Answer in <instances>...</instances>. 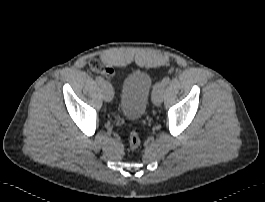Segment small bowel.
Segmentation results:
<instances>
[{"label": "small bowel", "instance_id": "obj_1", "mask_svg": "<svg viewBox=\"0 0 265 202\" xmlns=\"http://www.w3.org/2000/svg\"><path fill=\"white\" fill-rule=\"evenodd\" d=\"M89 64L94 71L100 72L108 78L115 76V70L110 65H100L95 58L90 59Z\"/></svg>", "mask_w": 265, "mask_h": 202}]
</instances>
